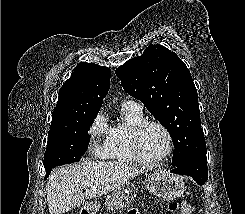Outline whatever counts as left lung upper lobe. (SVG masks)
<instances>
[{"label":"left lung upper lobe","instance_id":"obj_1","mask_svg":"<svg viewBox=\"0 0 245 214\" xmlns=\"http://www.w3.org/2000/svg\"><path fill=\"white\" fill-rule=\"evenodd\" d=\"M124 90L142 101L172 136V164L180 166L206 155L198 94L191 73L179 57L159 44L116 69Z\"/></svg>","mask_w":245,"mask_h":214}]
</instances>
